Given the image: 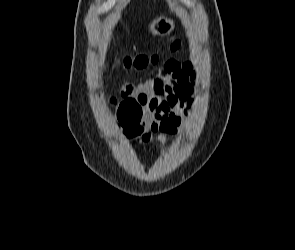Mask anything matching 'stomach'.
Segmentation results:
<instances>
[{
	"mask_svg": "<svg viewBox=\"0 0 295 250\" xmlns=\"http://www.w3.org/2000/svg\"><path fill=\"white\" fill-rule=\"evenodd\" d=\"M175 27L173 20L167 17H158L152 21L150 30L154 35H166Z\"/></svg>",
	"mask_w": 295,
	"mask_h": 250,
	"instance_id": "stomach-1",
	"label": "stomach"
}]
</instances>
